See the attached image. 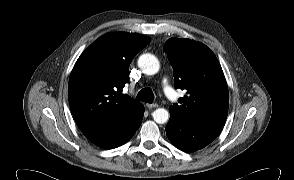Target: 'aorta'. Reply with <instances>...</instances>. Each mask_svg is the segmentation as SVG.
Returning <instances> with one entry per match:
<instances>
[{"label":"aorta","instance_id":"762f6f07","mask_svg":"<svg viewBox=\"0 0 294 180\" xmlns=\"http://www.w3.org/2000/svg\"><path fill=\"white\" fill-rule=\"evenodd\" d=\"M138 66L144 74L154 75L159 71L160 63L154 55L146 53L139 57ZM152 116L158 124H164L169 120V112L164 108L156 109Z\"/></svg>","mask_w":294,"mask_h":180}]
</instances>
